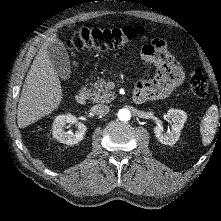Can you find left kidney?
<instances>
[{"instance_id": "5707ae66", "label": "left kidney", "mask_w": 221, "mask_h": 221, "mask_svg": "<svg viewBox=\"0 0 221 221\" xmlns=\"http://www.w3.org/2000/svg\"><path fill=\"white\" fill-rule=\"evenodd\" d=\"M167 117L172 120L171 131L163 132L162 124H157L154 128V134L159 142L165 145H174L180 137L181 129L186 122L187 115L184 111L179 109H169Z\"/></svg>"}]
</instances>
